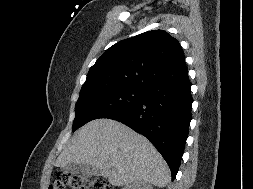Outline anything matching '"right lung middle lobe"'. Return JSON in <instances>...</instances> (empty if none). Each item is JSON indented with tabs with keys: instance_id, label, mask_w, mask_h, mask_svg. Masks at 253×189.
<instances>
[{
	"instance_id": "1",
	"label": "right lung middle lobe",
	"mask_w": 253,
	"mask_h": 189,
	"mask_svg": "<svg viewBox=\"0 0 253 189\" xmlns=\"http://www.w3.org/2000/svg\"><path fill=\"white\" fill-rule=\"evenodd\" d=\"M146 91L132 87L109 86L80 93L75 106L73 132L98 118H107L138 103Z\"/></svg>"
}]
</instances>
